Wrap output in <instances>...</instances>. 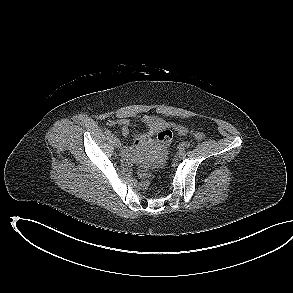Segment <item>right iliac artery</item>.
I'll return each instance as SVG.
<instances>
[{"label": "right iliac artery", "mask_w": 293, "mask_h": 293, "mask_svg": "<svg viewBox=\"0 0 293 293\" xmlns=\"http://www.w3.org/2000/svg\"><path fill=\"white\" fill-rule=\"evenodd\" d=\"M105 133H106L107 135H109L112 139L115 138L114 134H112L111 131L106 130Z\"/></svg>", "instance_id": "1"}]
</instances>
